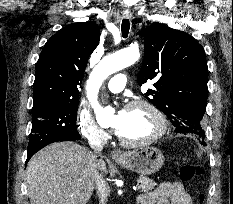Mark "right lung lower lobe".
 <instances>
[{
    "label": "right lung lower lobe",
    "instance_id": "right-lung-lower-lobe-1",
    "mask_svg": "<svg viewBox=\"0 0 233 204\" xmlns=\"http://www.w3.org/2000/svg\"><path fill=\"white\" fill-rule=\"evenodd\" d=\"M63 140H70V141H73V140H77V138H64V139H60V140H58V141H63ZM36 152H37V151H28L26 163L30 160V158H31Z\"/></svg>",
    "mask_w": 233,
    "mask_h": 204
}]
</instances>
